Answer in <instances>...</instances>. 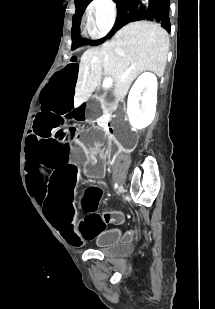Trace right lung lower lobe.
Returning <instances> with one entry per match:
<instances>
[{"instance_id": "1", "label": "right lung lower lobe", "mask_w": 215, "mask_h": 309, "mask_svg": "<svg viewBox=\"0 0 215 309\" xmlns=\"http://www.w3.org/2000/svg\"><path fill=\"white\" fill-rule=\"evenodd\" d=\"M137 20L154 21L170 31L169 0H133L118 18L116 29Z\"/></svg>"}]
</instances>
